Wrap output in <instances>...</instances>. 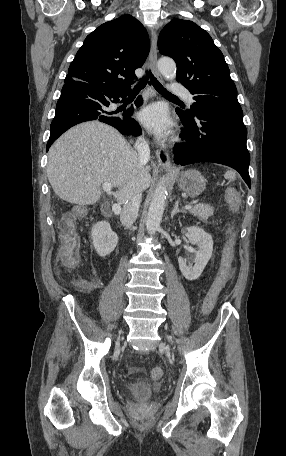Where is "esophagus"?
Masks as SVG:
<instances>
[{"label": "esophagus", "mask_w": 286, "mask_h": 456, "mask_svg": "<svg viewBox=\"0 0 286 456\" xmlns=\"http://www.w3.org/2000/svg\"><path fill=\"white\" fill-rule=\"evenodd\" d=\"M150 67L153 74L161 79V75L157 69V35L154 30H152V39H151V49L149 53ZM156 156L159 164L166 169L167 171H175V168L171 165L168 152L163 148H157Z\"/></svg>", "instance_id": "1"}]
</instances>
